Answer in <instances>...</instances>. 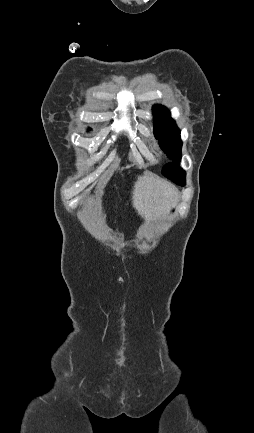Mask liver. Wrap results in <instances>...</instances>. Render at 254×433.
<instances>
[{
  "mask_svg": "<svg viewBox=\"0 0 254 433\" xmlns=\"http://www.w3.org/2000/svg\"><path fill=\"white\" fill-rule=\"evenodd\" d=\"M176 188L158 177L139 176L134 185L132 204L146 220H155L167 214L177 198Z\"/></svg>",
  "mask_w": 254,
  "mask_h": 433,
  "instance_id": "liver-1",
  "label": "liver"
}]
</instances>
